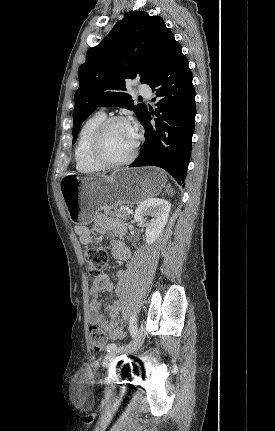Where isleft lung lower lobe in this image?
Here are the masks:
<instances>
[{"instance_id": "1", "label": "left lung lower lobe", "mask_w": 275, "mask_h": 431, "mask_svg": "<svg viewBox=\"0 0 275 431\" xmlns=\"http://www.w3.org/2000/svg\"><path fill=\"white\" fill-rule=\"evenodd\" d=\"M188 59L177 45L169 61L150 84L158 107L148 111L141 124L145 128V142L138 158L129 167L157 166L166 170L182 185L190 160L195 124V90ZM155 125L150 123L151 116Z\"/></svg>"}]
</instances>
